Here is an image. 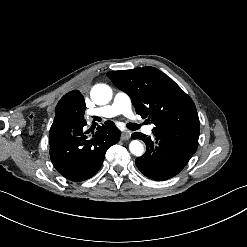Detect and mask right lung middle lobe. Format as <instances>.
I'll return each mask as SVG.
<instances>
[{
	"instance_id": "right-lung-middle-lobe-1",
	"label": "right lung middle lobe",
	"mask_w": 247,
	"mask_h": 247,
	"mask_svg": "<svg viewBox=\"0 0 247 247\" xmlns=\"http://www.w3.org/2000/svg\"><path fill=\"white\" fill-rule=\"evenodd\" d=\"M85 109L84 97L80 91L74 90L65 94L55 108V118L50 132L65 130L84 123Z\"/></svg>"
}]
</instances>
